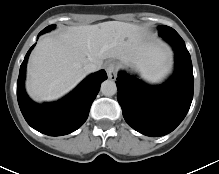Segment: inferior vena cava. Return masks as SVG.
Instances as JSON below:
<instances>
[{
  "label": "inferior vena cava",
  "instance_id": "obj_1",
  "mask_svg": "<svg viewBox=\"0 0 219 174\" xmlns=\"http://www.w3.org/2000/svg\"><path fill=\"white\" fill-rule=\"evenodd\" d=\"M98 69H99L98 66L94 63H88L84 66L85 73H92L97 71Z\"/></svg>",
  "mask_w": 219,
  "mask_h": 174
}]
</instances>
